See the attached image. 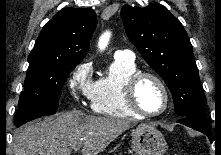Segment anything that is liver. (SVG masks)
Listing matches in <instances>:
<instances>
[{
	"label": "liver",
	"instance_id": "6515ba94",
	"mask_svg": "<svg viewBox=\"0 0 221 155\" xmlns=\"http://www.w3.org/2000/svg\"><path fill=\"white\" fill-rule=\"evenodd\" d=\"M136 122L95 117L74 110L55 118L36 120L16 130L14 155H70L82 146V155H98Z\"/></svg>",
	"mask_w": 221,
	"mask_h": 155
}]
</instances>
